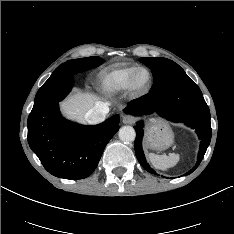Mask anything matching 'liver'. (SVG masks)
<instances>
[{
    "instance_id": "1",
    "label": "liver",
    "mask_w": 234,
    "mask_h": 234,
    "mask_svg": "<svg viewBox=\"0 0 234 234\" xmlns=\"http://www.w3.org/2000/svg\"><path fill=\"white\" fill-rule=\"evenodd\" d=\"M97 102L95 95L77 91L61 103V110L67 118L81 122Z\"/></svg>"
}]
</instances>
